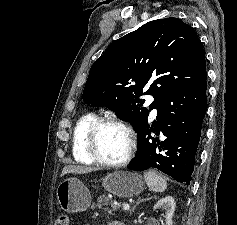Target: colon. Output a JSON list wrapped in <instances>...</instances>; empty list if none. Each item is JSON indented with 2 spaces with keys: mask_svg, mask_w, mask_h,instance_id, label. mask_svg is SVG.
Returning a JSON list of instances; mask_svg holds the SVG:
<instances>
[{
  "mask_svg": "<svg viewBox=\"0 0 237 225\" xmlns=\"http://www.w3.org/2000/svg\"><path fill=\"white\" fill-rule=\"evenodd\" d=\"M55 225H70V219L68 215H59L56 219Z\"/></svg>",
  "mask_w": 237,
  "mask_h": 225,
  "instance_id": "colon-1",
  "label": "colon"
}]
</instances>
